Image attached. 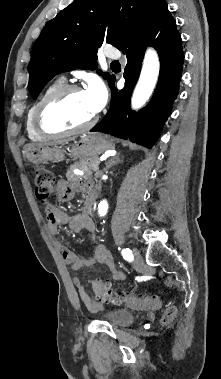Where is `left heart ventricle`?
I'll list each match as a JSON object with an SVG mask.
<instances>
[{
	"mask_svg": "<svg viewBox=\"0 0 221 379\" xmlns=\"http://www.w3.org/2000/svg\"><path fill=\"white\" fill-rule=\"evenodd\" d=\"M94 115L83 92H74L50 108L45 122L50 128L65 129L82 125Z\"/></svg>",
	"mask_w": 221,
	"mask_h": 379,
	"instance_id": "obj_1",
	"label": "left heart ventricle"
}]
</instances>
